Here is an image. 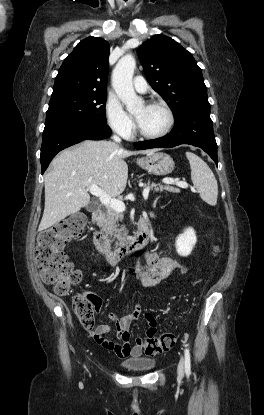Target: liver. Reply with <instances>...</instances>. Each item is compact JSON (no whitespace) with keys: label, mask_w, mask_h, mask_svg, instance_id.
<instances>
[{"label":"liver","mask_w":264,"mask_h":415,"mask_svg":"<svg viewBox=\"0 0 264 415\" xmlns=\"http://www.w3.org/2000/svg\"><path fill=\"white\" fill-rule=\"evenodd\" d=\"M157 149L128 151L111 141L86 140L62 151L45 175V208L39 231L46 230L90 203L87 184H96L110 197L126 187L128 165L124 158L152 154Z\"/></svg>","instance_id":"6515ba94"}]
</instances>
